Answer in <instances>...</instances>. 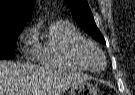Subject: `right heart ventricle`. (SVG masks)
<instances>
[{
	"instance_id": "e07e8e85",
	"label": "right heart ventricle",
	"mask_w": 135,
	"mask_h": 95,
	"mask_svg": "<svg viewBox=\"0 0 135 95\" xmlns=\"http://www.w3.org/2000/svg\"><path fill=\"white\" fill-rule=\"evenodd\" d=\"M35 42V57L47 68L83 71L85 68L73 55V45L86 38L68 21L56 20L43 27L37 24L31 31Z\"/></svg>"
}]
</instances>
